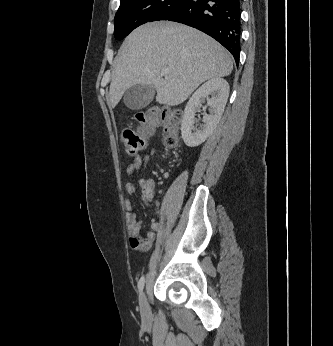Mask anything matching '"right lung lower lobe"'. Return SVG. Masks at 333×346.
I'll list each match as a JSON object with an SVG mask.
<instances>
[{
	"label": "right lung lower lobe",
	"mask_w": 333,
	"mask_h": 346,
	"mask_svg": "<svg viewBox=\"0 0 333 346\" xmlns=\"http://www.w3.org/2000/svg\"><path fill=\"white\" fill-rule=\"evenodd\" d=\"M240 0H184L165 20L194 27L221 43L234 56L240 54Z\"/></svg>",
	"instance_id": "obj_1"
}]
</instances>
